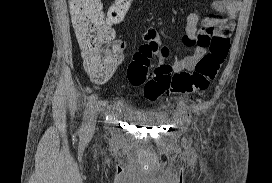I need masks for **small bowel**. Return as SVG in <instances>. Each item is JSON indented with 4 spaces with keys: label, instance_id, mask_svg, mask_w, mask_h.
Listing matches in <instances>:
<instances>
[{
    "label": "small bowel",
    "instance_id": "obj_1",
    "mask_svg": "<svg viewBox=\"0 0 272 183\" xmlns=\"http://www.w3.org/2000/svg\"><path fill=\"white\" fill-rule=\"evenodd\" d=\"M212 9L215 15L200 18V16L192 12L186 18L185 34L182 42L193 48V52L183 58L175 59L172 65L174 72H182L191 70L198 61L205 55L209 39L213 38V34H229L234 26V19L242 9L240 0H215L212 3ZM144 43H160V37L157 30L153 27L147 28L142 34ZM115 47L120 57L121 53L127 46V42L122 39L114 41ZM113 68L108 77L102 80L94 79L98 83L105 82L115 71Z\"/></svg>",
    "mask_w": 272,
    "mask_h": 183
}]
</instances>
